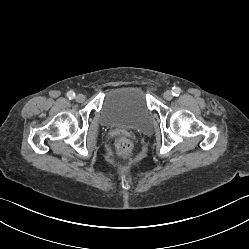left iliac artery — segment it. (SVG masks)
<instances>
[{"mask_svg":"<svg viewBox=\"0 0 249 249\" xmlns=\"http://www.w3.org/2000/svg\"><path fill=\"white\" fill-rule=\"evenodd\" d=\"M181 93V89L179 87H173L172 88V95L173 96H179Z\"/></svg>","mask_w":249,"mask_h":249,"instance_id":"1","label":"left iliac artery"}]
</instances>
